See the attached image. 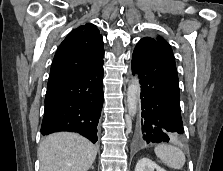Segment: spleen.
Instances as JSON below:
<instances>
[{
  "mask_svg": "<svg viewBox=\"0 0 223 171\" xmlns=\"http://www.w3.org/2000/svg\"><path fill=\"white\" fill-rule=\"evenodd\" d=\"M154 152L168 167L179 170L185 164V155L183 151L176 146L161 144L155 147Z\"/></svg>",
  "mask_w": 223,
  "mask_h": 171,
  "instance_id": "spleen-1",
  "label": "spleen"
}]
</instances>
